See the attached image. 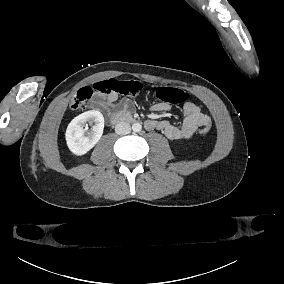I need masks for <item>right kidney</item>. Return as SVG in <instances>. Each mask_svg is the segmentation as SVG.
I'll list each match as a JSON object with an SVG mask.
<instances>
[{
  "mask_svg": "<svg viewBox=\"0 0 284 284\" xmlns=\"http://www.w3.org/2000/svg\"><path fill=\"white\" fill-rule=\"evenodd\" d=\"M86 122L94 123L91 131L84 129ZM104 129V117L95 110L86 111L75 117L66 130L68 148L76 155H83L100 140Z\"/></svg>",
  "mask_w": 284,
  "mask_h": 284,
  "instance_id": "1",
  "label": "right kidney"
}]
</instances>
